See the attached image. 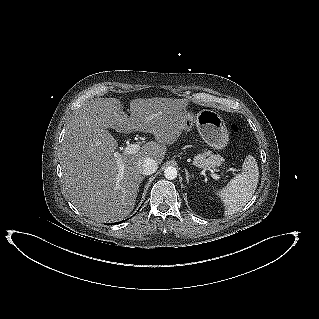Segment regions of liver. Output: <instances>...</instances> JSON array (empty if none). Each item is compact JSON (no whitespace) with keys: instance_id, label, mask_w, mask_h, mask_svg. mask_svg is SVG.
<instances>
[{"instance_id":"obj_1","label":"liver","mask_w":319,"mask_h":319,"mask_svg":"<svg viewBox=\"0 0 319 319\" xmlns=\"http://www.w3.org/2000/svg\"><path fill=\"white\" fill-rule=\"evenodd\" d=\"M185 99L139 98L130 101L131 117L117 98L87 101L71 118L60 148V164L70 201L85 216L97 222H115L134 209L143 177L139 162L147 157L161 164L166 145L173 144L184 130ZM108 128L119 133L136 129L154 134L135 154L116 152L118 146ZM124 175L117 179L119 167Z\"/></svg>"}]
</instances>
